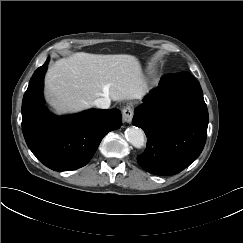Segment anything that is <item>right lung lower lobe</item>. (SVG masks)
<instances>
[{
    "label": "right lung lower lobe",
    "instance_id": "right-lung-lower-lobe-1",
    "mask_svg": "<svg viewBox=\"0 0 243 243\" xmlns=\"http://www.w3.org/2000/svg\"><path fill=\"white\" fill-rule=\"evenodd\" d=\"M49 58L33 74L22 102V131L32 153L48 168L70 171L85 166L102 138L122 125L117 109H91L56 116L44 106L43 78Z\"/></svg>",
    "mask_w": 243,
    "mask_h": 243
}]
</instances>
